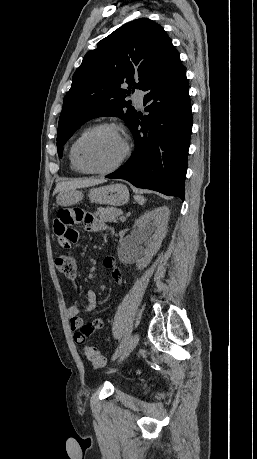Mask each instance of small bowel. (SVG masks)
I'll return each instance as SVG.
<instances>
[{
	"mask_svg": "<svg viewBox=\"0 0 257 459\" xmlns=\"http://www.w3.org/2000/svg\"><path fill=\"white\" fill-rule=\"evenodd\" d=\"M55 236L63 245L64 251H75L80 233L75 226H85L91 230H106L107 225L99 217H93L88 205H61V211H57L53 221ZM104 266L110 270L111 277L117 285L122 284V272L116 265V259L112 256L104 258ZM76 285L75 278L71 279ZM97 293L89 290L84 300L75 302L68 308L70 328L73 331V338L77 344H84L88 336L96 330L104 328V321L100 318L85 324L83 316L92 313L97 307Z\"/></svg>",
	"mask_w": 257,
	"mask_h": 459,
	"instance_id": "c3829d8e",
	"label": "small bowel"
}]
</instances>
